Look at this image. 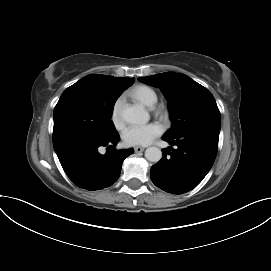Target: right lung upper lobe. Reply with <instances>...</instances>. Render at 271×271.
Listing matches in <instances>:
<instances>
[{"label":"right lung upper lobe","mask_w":271,"mask_h":271,"mask_svg":"<svg viewBox=\"0 0 271 271\" xmlns=\"http://www.w3.org/2000/svg\"><path fill=\"white\" fill-rule=\"evenodd\" d=\"M84 79L91 81L92 83L102 88H112L118 90H125L134 82L133 78L128 77H112L107 75L91 74L85 76Z\"/></svg>","instance_id":"obj_1"}]
</instances>
